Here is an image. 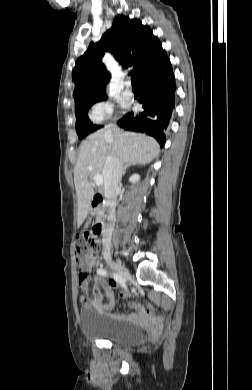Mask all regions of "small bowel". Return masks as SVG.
Masks as SVG:
<instances>
[{
    "label": "small bowel",
    "mask_w": 252,
    "mask_h": 390,
    "mask_svg": "<svg viewBox=\"0 0 252 390\" xmlns=\"http://www.w3.org/2000/svg\"><path fill=\"white\" fill-rule=\"evenodd\" d=\"M99 264H100L99 260L96 257H92L83 265H81L80 269L83 272H88L93 267L99 266ZM94 285L96 288L103 289L105 295L108 297L109 300L103 303L98 298L96 301L90 302L86 298L81 297L80 301L84 307H89V306L93 307L99 313L108 315L113 319L150 324L151 330L154 332H159L161 330V323L158 319L155 318L154 307L151 303H148L146 308L136 303H132V302L129 303V307L133 309V313L130 315H125L122 313H112L111 310L114 306V300H113L114 293L112 288L116 286V282L110 281L108 283L106 282V280L103 278L102 275L98 274L97 276L94 277ZM128 295L129 294L126 291L121 292L122 297H127Z\"/></svg>",
    "instance_id": "small-bowel-1"
}]
</instances>
